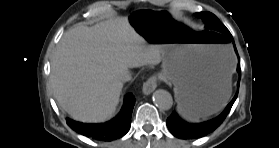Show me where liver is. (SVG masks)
Wrapping results in <instances>:
<instances>
[{"instance_id": "6515ba94", "label": "liver", "mask_w": 279, "mask_h": 148, "mask_svg": "<svg viewBox=\"0 0 279 148\" xmlns=\"http://www.w3.org/2000/svg\"><path fill=\"white\" fill-rule=\"evenodd\" d=\"M161 60L162 48L148 44L127 18L93 27L79 25L64 33L57 45L51 61V89L73 119L103 122L118 105L121 73Z\"/></svg>"}]
</instances>
